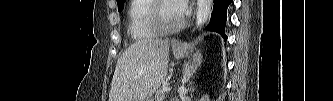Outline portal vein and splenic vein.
I'll use <instances>...</instances> for the list:
<instances>
[{
  "mask_svg": "<svg viewBox=\"0 0 333 101\" xmlns=\"http://www.w3.org/2000/svg\"><path fill=\"white\" fill-rule=\"evenodd\" d=\"M171 89H172V88L168 86V87H165V88H164V91H165V92H169V91H171Z\"/></svg>",
  "mask_w": 333,
  "mask_h": 101,
  "instance_id": "1",
  "label": "portal vein and splenic vein"
}]
</instances>
